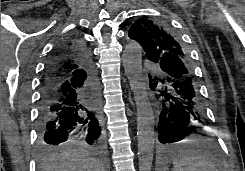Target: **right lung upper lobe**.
I'll use <instances>...</instances> for the list:
<instances>
[{
	"label": "right lung upper lobe",
	"mask_w": 245,
	"mask_h": 171,
	"mask_svg": "<svg viewBox=\"0 0 245 171\" xmlns=\"http://www.w3.org/2000/svg\"><path fill=\"white\" fill-rule=\"evenodd\" d=\"M74 42L75 40L73 39L64 41L53 54V56L59 57L63 54H70L72 52ZM83 73L84 69L80 66V64L76 62L74 58H70L61 65L60 69L56 73V77L66 78L70 76H79Z\"/></svg>",
	"instance_id": "obj_1"
}]
</instances>
